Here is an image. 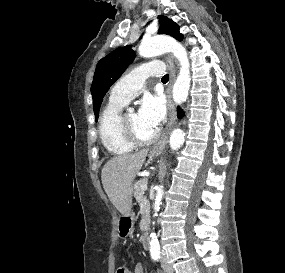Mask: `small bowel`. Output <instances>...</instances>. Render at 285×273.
I'll return each mask as SVG.
<instances>
[{"instance_id":"small-bowel-1","label":"small bowel","mask_w":285,"mask_h":273,"mask_svg":"<svg viewBox=\"0 0 285 273\" xmlns=\"http://www.w3.org/2000/svg\"><path fill=\"white\" fill-rule=\"evenodd\" d=\"M128 273H145V270H144L143 265L138 263L135 265L133 271L131 272L128 270ZM156 273H161V272L157 271Z\"/></svg>"}]
</instances>
